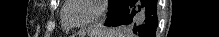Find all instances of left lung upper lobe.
I'll list each match as a JSON object with an SVG mask.
<instances>
[{"mask_svg": "<svg viewBox=\"0 0 219 37\" xmlns=\"http://www.w3.org/2000/svg\"><path fill=\"white\" fill-rule=\"evenodd\" d=\"M118 0H109V12L108 15L111 13V11L113 10L114 6L116 5Z\"/></svg>", "mask_w": 219, "mask_h": 37, "instance_id": "left-lung-upper-lobe-1", "label": "left lung upper lobe"}]
</instances>
